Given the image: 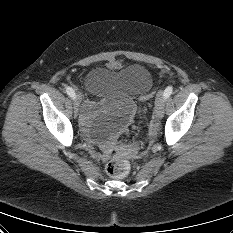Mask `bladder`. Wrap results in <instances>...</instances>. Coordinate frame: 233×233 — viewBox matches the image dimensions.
Instances as JSON below:
<instances>
[{"label": "bladder", "instance_id": "1", "mask_svg": "<svg viewBox=\"0 0 233 233\" xmlns=\"http://www.w3.org/2000/svg\"><path fill=\"white\" fill-rule=\"evenodd\" d=\"M153 85L151 73L140 64L122 69L97 67L85 77V87L93 95L115 98L99 105L101 112L92 119L94 110L84 120L88 135L103 140L122 129L130 121L135 107L131 98L150 92Z\"/></svg>", "mask_w": 233, "mask_h": 233}]
</instances>
